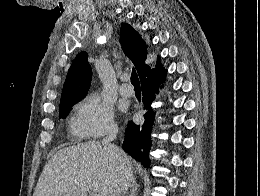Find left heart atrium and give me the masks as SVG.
Wrapping results in <instances>:
<instances>
[{
	"instance_id": "left-heart-atrium-1",
	"label": "left heart atrium",
	"mask_w": 260,
	"mask_h": 196,
	"mask_svg": "<svg viewBox=\"0 0 260 196\" xmlns=\"http://www.w3.org/2000/svg\"><path fill=\"white\" fill-rule=\"evenodd\" d=\"M124 190H107L106 192H123Z\"/></svg>"
}]
</instances>
